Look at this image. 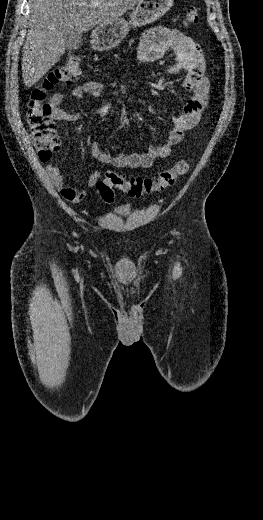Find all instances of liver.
I'll return each mask as SVG.
<instances>
[{"mask_svg":"<svg viewBox=\"0 0 263 520\" xmlns=\"http://www.w3.org/2000/svg\"><path fill=\"white\" fill-rule=\"evenodd\" d=\"M140 0H30V30L23 47L22 77L36 84L63 56L66 36L119 19ZM99 2L97 7L91 6Z\"/></svg>","mask_w":263,"mask_h":520,"instance_id":"1","label":"liver"}]
</instances>
